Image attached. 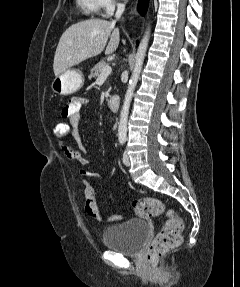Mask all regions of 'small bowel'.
Here are the masks:
<instances>
[{"instance_id":"c3829d8e","label":"small bowel","mask_w":240,"mask_h":287,"mask_svg":"<svg viewBox=\"0 0 240 287\" xmlns=\"http://www.w3.org/2000/svg\"><path fill=\"white\" fill-rule=\"evenodd\" d=\"M88 99L81 96H73L63 106L60 112L62 119L66 120L71 125L72 148H67L60 143L61 149L66 157L75 165L81 166L80 174L85 178H102L103 174L85 168L90 165L89 159L86 157V148L82 142L78 131L80 111L83 106L88 104Z\"/></svg>"}]
</instances>
